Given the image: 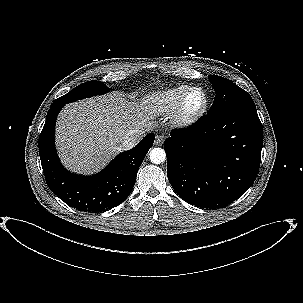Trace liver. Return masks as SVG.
I'll return each mask as SVG.
<instances>
[{"label":"liver","mask_w":303,"mask_h":303,"mask_svg":"<svg viewBox=\"0 0 303 303\" xmlns=\"http://www.w3.org/2000/svg\"><path fill=\"white\" fill-rule=\"evenodd\" d=\"M152 126L133 96L113 92L66 105L57 121L56 144L67 168L91 173L122 150L129 131L145 133Z\"/></svg>","instance_id":"liver-1"}]
</instances>
